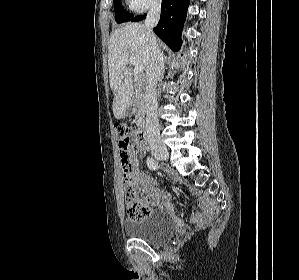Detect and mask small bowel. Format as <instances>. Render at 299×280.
<instances>
[{"label": "small bowel", "mask_w": 299, "mask_h": 280, "mask_svg": "<svg viewBox=\"0 0 299 280\" xmlns=\"http://www.w3.org/2000/svg\"><path fill=\"white\" fill-rule=\"evenodd\" d=\"M143 153V146L139 143L137 138L133 137V142L129 149V182L132 186L139 188L145 195L146 202L150 208L155 206L158 208L166 207L167 210L173 214V206L169 202L170 194L164 190L156 187V180L138 167V155ZM198 204L201 211H193L190 222L201 225L211 220L217 213L216 206L212 205L210 201L201 197L198 199Z\"/></svg>", "instance_id": "c3829d8e"}]
</instances>
